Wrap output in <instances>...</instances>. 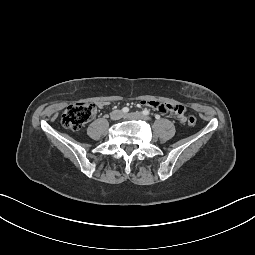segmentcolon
<instances>
[{"label": "colon", "mask_w": 255, "mask_h": 255, "mask_svg": "<svg viewBox=\"0 0 255 255\" xmlns=\"http://www.w3.org/2000/svg\"><path fill=\"white\" fill-rule=\"evenodd\" d=\"M97 114V107L90 102H77L69 105L62 114V124L70 130L82 128L88 121L92 120ZM196 118L191 115L187 124L195 125Z\"/></svg>", "instance_id": "5ec220e1"}]
</instances>
